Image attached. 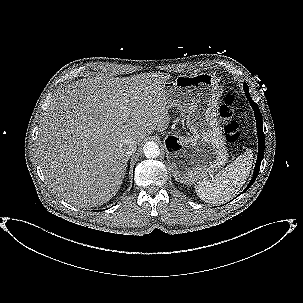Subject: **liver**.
<instances>
[{"label": "liver", "instance_id": "liver-1", "mask_svg": "<svg viewBox=\"0 0 303 303\" xmlns=\"http://www.w3.org/2000/svg\"><path fill=\"white\" fill-rule=\"evenodd\" d=\"M169 78L162 73L97 74L60 90L43 115L37 139L40 165L53 192L81 208L112 199L128 161L121 141L129 137L139 143L169 126L163 90Z\"/></svg>", "mask_w": 303, "mask_h": 303}]
</instances>
